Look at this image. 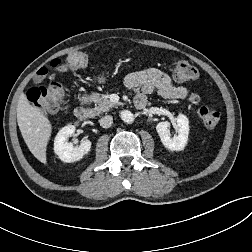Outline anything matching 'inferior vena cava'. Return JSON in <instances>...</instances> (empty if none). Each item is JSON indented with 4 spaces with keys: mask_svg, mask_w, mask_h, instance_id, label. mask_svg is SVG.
Returning <instances> with one entry per match:
<instances>
[{
    "mask_svg": "<svg viewBox=\"0 0 252 252\" xmlns=\"http://www.w3.org/2000/svg\"><path fill=\"white\" fill-rule=\"evenodd\" d=\"M100 126L103 128H109L113 123V117L106 115L99 120Z\"/></svg>",
    "mask_w": 252,
    "mask_h": 252,
    "instance_id": "602c4592",
    "label": "inferior vena cava"
}]
</instances>
